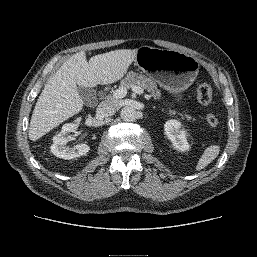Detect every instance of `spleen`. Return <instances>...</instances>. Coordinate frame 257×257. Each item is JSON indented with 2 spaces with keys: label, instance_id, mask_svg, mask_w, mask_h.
Returning <instances> with one entry per match:
<instances>
[{
  "label": "spleen",
  "instance_id": "1",
  "mask_svg": "<svg viewBox=\"0 0 257 257\" xmlns=\"http://www.w3.org/2000/svg\"><path fill=\"white\" fill-rule=\"evenodd\" d=\"M219 152L220 147L218 145H211L207 147L196 165V171H200L208 166L215 158H217Z\"/></svg>",
  "mask_w": 257,
  "mask_h": 257
}]
</instances>
